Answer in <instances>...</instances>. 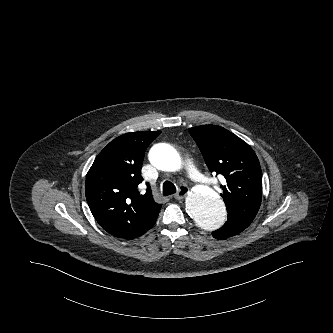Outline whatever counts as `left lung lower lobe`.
Returning <instances> with one entry per match:
<instances>
[{
	"instance_id": "left-lung-lower-lobe-1",
	"label": "left lung lower lobe",
	"mask_w": 333,
	"mask_h": 333,
	"mask_svg": "<svg viewBox=\"0 0 333 333\" xmlns=\"http://www.w3.org/2000/svg\"><path fill=\"white\" fill-rule=\"evenodd\" d=\"M251 222L239 219L235 216L228 217V220L220 229L213 231L212 235L216 239H225L238 233L242 232L246 229Z\"/></svg>"
}]
</instances>
